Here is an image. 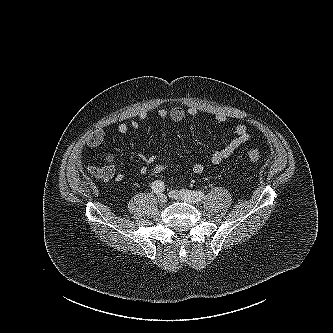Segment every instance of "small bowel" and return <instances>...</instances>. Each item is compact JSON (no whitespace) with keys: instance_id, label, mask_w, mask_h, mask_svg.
Wrapping results in <instances>:
<instances>
[{"instance_id":"c3829d8e","label":"small bowel","mask_w":333,"mask_h":333,"mask_svg":"<svg viewBox=\"0 0 333 333\" xmlns=\"http://www.w3.org/2000/svg\"><path fill=\"white\" fill-rule=\"evenodd\" d=\"M197 114V109L190 107L184 109L180 106H173L170 108H160L158 110V116L162 119H171L173 122L179 123L185 119L186 116H195ZM215 120L218 123H224L226 121V117L217 113L215 115ZM139 124L137 121H131L129 124L125 122H121L117 125V132L121 135L126 134L129 130H137ZM105 139V133L101 129H96L93 131L89 137L87 138V145L92 148L99 147ZM250 140V134L248 132L246 124L240 122L236 124L234 128V137L229 141V143L220 149L215 150L210 158V162L213 165H218L231 157L235 151L248 142ZM140 160L142 161V165L139 168V173L144 175L148 173L150 165H152L156 156L147 153H141L139 155ZM104 160L106 164L102 167H91L90 173L97 179L102 181H122L124 179V174L122 172H118L113 162V158L110 154L104 155ZM205 165L201 162H196L192 166V171L195 174H200L204 172Z\"/></svg>"}]
</instances>
